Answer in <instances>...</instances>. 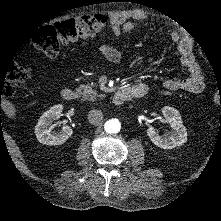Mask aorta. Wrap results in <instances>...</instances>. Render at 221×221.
Listing matches in <instances>:
<instances>
[{
    "label": "aorta",
    "mask_w": 221,
    "mask_h": 221,
    "mask_svg": "<svg viewBox=\"0 0 221 221\" xmlns=\"http://www.w3.org/2000/svg\"><path fill=\"white\" fill-rule=\"evenodd\" d=\"M104 129L107 133H118L121 129V123L118 119H109L104 124Z\"/></svg>",
    "instance_id": "aorta-1"
}]
</instances>
